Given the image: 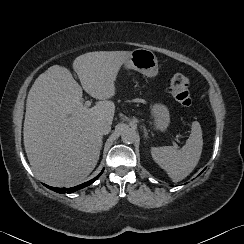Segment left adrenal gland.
Instances as JSON below:
<instances>
[{
	"instance_id": "a2214340",
	"label": "left adrenal gland",
	"mask_w": 244,
	"mask_h": 244,
	"mask_svg": "<svg viewBox=\"0 0 244 244\" xmlns=\"http://www.w3.org/2000/svg\"><path fill=\"white\" fill-rule=\"evenodd\" d=\"M143 129H144V136H145V138L147 139V138H148V132H147V129L145 128V126H143Z\"/></svg>"
}]
</instances>
